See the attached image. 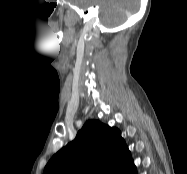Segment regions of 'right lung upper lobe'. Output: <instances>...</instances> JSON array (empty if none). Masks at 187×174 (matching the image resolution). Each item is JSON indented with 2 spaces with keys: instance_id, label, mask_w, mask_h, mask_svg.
Segmentation results:
<instances>
[{
  "instance_id": "obj_1",
  "label": "right lung upper lobe",
  "mask_w": 187,
  "mask_h": 174,
  "mask_svg": "<svg viewBox=\"0 0 187 174\" xmlns=\"http://www.w3.org/2000/svg\"><path fill=\"white\" fill-rule=\"evenodd\" d=\"M135 170L120 131L89 120L75 140L50 159L43 174H131Z\"/></svg>"
}]
</instances>
